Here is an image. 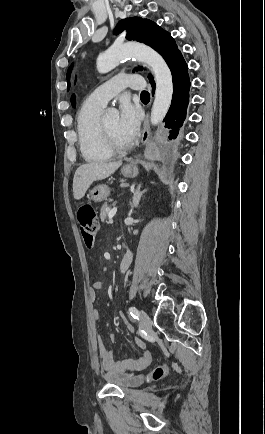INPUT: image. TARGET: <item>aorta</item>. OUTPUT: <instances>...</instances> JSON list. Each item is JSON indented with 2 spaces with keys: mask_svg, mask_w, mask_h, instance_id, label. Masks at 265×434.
Wrapping results in <instances>:
<instances>
[{
  "mask_svg": "<svg viewBox=\"0 0 265 434\" xmlns=\"http://www.w3.org/2000/svg\"><path fill=\"white\" fill-rule=\"evenodd\" d=\"M135 58L138 62L147 64L152 70L156 82L155 100L151 110V124L157 126L163 122L172 102L173 82L172 74L162 56L144 44H123L111 46L104 54L97 58L96 68L99 74H107L119 66L122 58ZM108 114H113L108 110Z\"/></svg>",
  "mask_w": 265,
  "mask_h": 434,
  "instance_id": "762f6f07",
  "label": "aorta"
}]
</instances>
